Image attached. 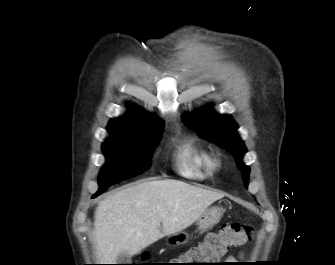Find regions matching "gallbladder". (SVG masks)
<instances>
[{
  "label": "gallbladder",
  "mask_w": 335,
  "mask_h": 265,
  "mask_svg": "<svg viewBox=\"0 0 335 265\" xmlns=\"http://www.w3.org/2000/svg\"><path fill=\"white\" fill-rule=\"evenodd\" d=\"M131 261V256L127 253H122L117 257V262L119 264H129Z\"/></svg>",
  "instance_id": "obj_1"
}]
</instances>
